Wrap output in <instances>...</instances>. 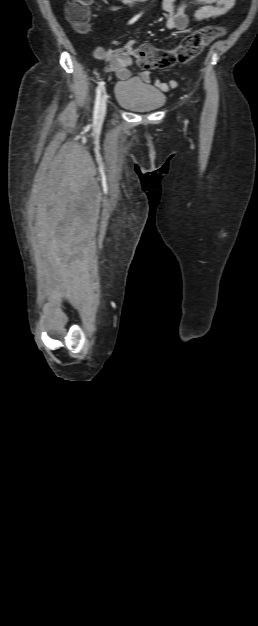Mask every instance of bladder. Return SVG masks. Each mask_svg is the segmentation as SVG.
<instances>
[{"mask_svg":"<svg viewBox=\"0 0 258 626\" xmlns=\"http://www.w3.org/2000/svg\"><path fill=\"white\" fill-rule=\"evenodd\" d=\"M116 102L132 111L150 112L162 107L165 94L138 77L126 78L115 86Z\"/></svg>","mask_w":258,"mask_h":626,"instance_id":"obj_1","label":"bladder"}]
</instances>
